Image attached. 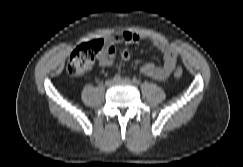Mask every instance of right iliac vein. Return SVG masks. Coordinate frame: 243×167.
Here are the masks:
<instances>
[{"mask_svg":"<svg viewBox=\"0 0 243 167\" xmlns=\"http://www.w3.org/2000/svg\"><path fill=\"white\" fill-rule=\"evenodd\" d=\"M114 83H115V81L113 79H109L105 82V86L111 87Z\"/></svg>","mask_w":243,"mask_h":167,"instance_id":"obj_1","label":"right iliac vein"}]
</instances>
